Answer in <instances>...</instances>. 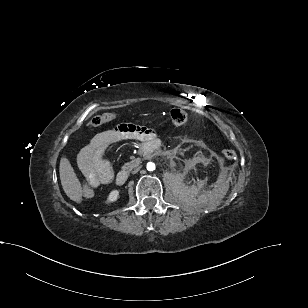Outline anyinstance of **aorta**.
I'll use <instances>...</instances> for the list:
<instances>
[{
    "mask_svg": "<svg viewBox=\"0 0 308 308\" xmlns=\"http://www.w3.org/2000/svg\"><path fill=\"white\" fill-rule=\"evenodd\" d=\"M147 170H149V171L155 170V164L153 162H149L147 164Z\"/></svg>",
    "mask_w": 308,
    "mask_h": 308,
    "instance_id": "1",
    "label": "aorta"
}]
</instances>
